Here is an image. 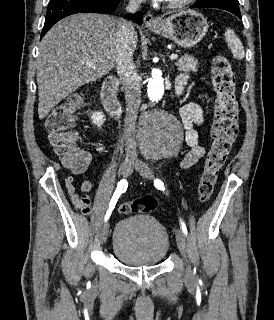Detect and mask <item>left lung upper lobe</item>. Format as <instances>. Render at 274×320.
<instances>
[{
	"instance_id": "obj_1",
	"label": "left lung upper lobe",
	"mask_w": 274,
	"mask_h": 320,
	"mask_svg": "<svg viewBox=\"0 0 274 320\" xmlns=\"http://www.w3.org/2000/svg\"><path fill=\"white\" fill-rule=\"evenodd\" d=\"M199 3L220 6L227 9L239 10L238 0H199Z\"/></svg>"
}]
</instances>
